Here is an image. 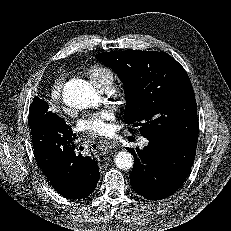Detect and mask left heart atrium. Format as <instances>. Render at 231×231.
<instances>
[{"mask_svg": "<svg viewBox=\"0 0 231 231\" xmlns=\"http://www.w3.org/2000/svg\"><path fill=\"white\" fill-rule=\"evenodd\" d=\"M115 118V113L111 109H104L93 113L83 119L80 123L81 128L95 134L106 135L112 127L110 122Z\"/></svg>", "mask_w": 231, "mask_h": 231, "instance_id": "1", "label": "left heart atrium"}]
</instances>
